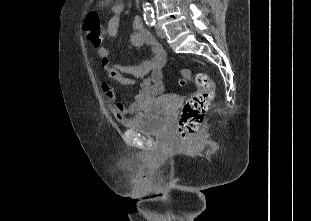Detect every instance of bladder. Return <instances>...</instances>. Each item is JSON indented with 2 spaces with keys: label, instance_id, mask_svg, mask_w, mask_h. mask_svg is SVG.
Listing matches in <instances>:
<instances>
[{
  "label": "bladder",
  "instance_id": "obj_1",
  "mask_svg": "<svg viewBox=\"0 0 311 221\" xmlns=\"http://www.w3.org/2000/svg\"><path fill=\"white\" fill-rule=\"evenodd\" d=\"M175 99L173 95L156 97L152 108H146L145 112L130 117L124 126L138 130L143 135L165 134L172 123L170 110Z\"/></svg>",
  "mask_w": 311,
  "mask_h": 221
}]
</instances>
